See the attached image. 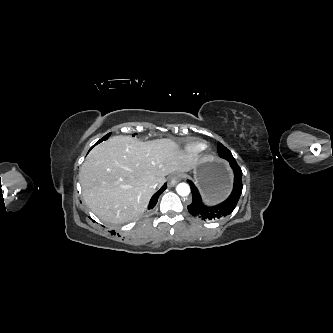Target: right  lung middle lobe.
I'll return each mask as SVG.
<instances>
[{
  "label": "right lung middle lobe",
  "instance_id": "right-lung-middle-lobe-1",
  "mask_svg": "<svg viewBox=\"0 0 333 333\" xmlns=\"http://www.w3.org/2000/svg\"><path fill=\"white\" fill-rule=\"evenodd\" d=\"M110 134H111V133H109V134H107L106 136H104V137L101 139V141L106 140V139L110 136ZM101 141H100V142H101Z\"/></svg>",
  "mask_w": 333,
  "mask_h": 333
}]
</instances>
